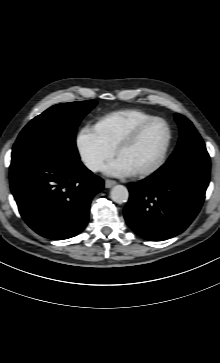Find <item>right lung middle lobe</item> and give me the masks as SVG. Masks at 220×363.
Here are the masks:
<instances>
[{
	"mask_svg": "<svg viewBox=\"0 0 220 363\" xmlns=\"http://www.w3.org/2000/svg\"><path fill=\"white\" fill-rule=\"evenodd\" d=\"M96 104L95 100L58 104L35 117L18 136L11 163L46 151L60 153L73 161L79 160L75 144L76 129Z\"/></svg>",
	"mask_w": 220,
	"mask_h": 363,
	"instance_id": "obj_1",
	"label": "right lung middle lobe"
}]
</instances>
